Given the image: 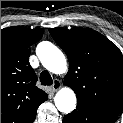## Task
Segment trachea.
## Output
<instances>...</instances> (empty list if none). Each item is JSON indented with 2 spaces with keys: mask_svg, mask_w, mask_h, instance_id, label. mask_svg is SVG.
Returning a JSON list of instances; mask_svg holds the SVG:
<instances>
[{
  "mask_svg": "<svg viewBox=\"0 0 123 123\" xmlns=\"http://www.w3.org/2000/svg\"><path fill=\"white\" fill-rule=\"evenodd\" d=\"M40 81L42 85H52L53 80L48 71H42L40 74Z\"/></svg>",
  "mask_w": 123,
  "mask_h": 123,
  "instance_id": "obj_1",
  "label": "trachea"
}]
</instances>
